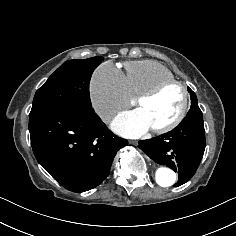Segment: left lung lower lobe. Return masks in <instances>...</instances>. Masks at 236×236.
Returning a JSON list of instances; mask_svg holds the SVG:
<instances>
[{"label":"left lung lower lobe","mask_w":236,"mask_h":236,"mask_svg":"<svg viewBox=\"0 0 236 236\" xmlns=\"http://www.w3.org/2000/svg\"><path fill=\"white\" fill-rule=\"evenodd\" d=\"M202 116H187L172 131L139 141L138 147L152 160L166 165L179 178L175 186L186 183L196 172L205 150Z\"/></svg>","instance_id":"1"}]
</instances>
